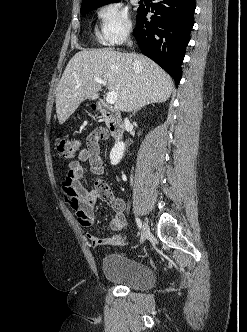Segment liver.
I'll return each instance as SVG.
<instances>
[{"label": "liver", "mask_w": 247, "mask_h": 332, "mask_svg": "<svg viewBox=\"0 0 247 332\" xmlns=\"http://www.w3.org/2000/svg\"><path fill=\"white\" fill-rule=\"evenodd\" d=\"M94 78L108 83V90L117 94L115 108L124 112L165 102L173 89L172 78L141 54L111 49L82 50L70 59L58 84L59 124H63L84 100L99 98L101 84Z\"/></svg>", "instance_id": "1"}]
</instances>
